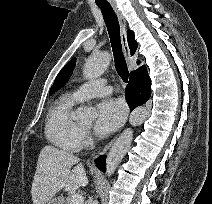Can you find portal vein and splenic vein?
I'll list each match as a JSON object with an SVG mask.
<instances>
[{"label": "portal vein and splenic vein", "mask_w": 212, "mask_h": 204, "mask_svg": "<svg viewBox=\"0 0 212 204\" xmlns=\"http://www.w3.org/2000/svg\"><path fill=\"white\" fill-rule=\"evenodd\" d=\"M83 197L82 195L80 194H73L71 197H70V202L71 204H83Z\"/></svg>", "instance_id": "portal-vein-and-splenic-vein-1"}]
</instances>
